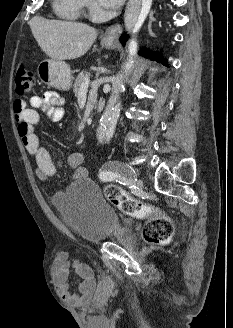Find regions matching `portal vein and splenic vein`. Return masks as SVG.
Instances as JSON below:
<instances>
[{"mask_svg": "<svg viewBox=\"0 0 233 328\" xmlns=\"http://www.w3.org/2000/svg\"><path fill=\"white\" fill-rule=\"evenodd\" d=\"M89 83H90V79L88 77L85 78L84 81L81 84L80 90H83V91L87 90L88 86H89Z\"/></svg>", "mask_w": 233, "mask_h": 328, "instance_id": "portal-vein-and-splenic-vein-1", "label": "portal vein and splenic vein"}]
</instances>
